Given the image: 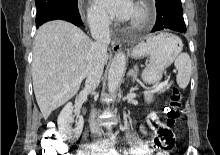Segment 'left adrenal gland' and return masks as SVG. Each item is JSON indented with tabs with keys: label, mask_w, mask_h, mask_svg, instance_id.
<instances>
[{
	"label": "left adrenal gland",
	"mask_w": 220,
	"mask_h": 155,
	"mask_svg": "<svg viewBox=\"0 0 220 155\" xmlns=\"http://www.w3.org/2000/svg\"><path fill=\"white\" fill-rule=\"evenodd\" d=\"M139 70L137 65H135L127 74V76H131L132 77V82L137 80V76H138Z\"/></svg>",
	"instance_id": "1"
}]
</instances>
